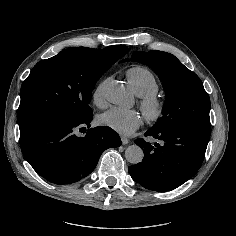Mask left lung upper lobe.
I'll list each match as a JSON object with an SVG mask.
<instances>
[{"mask_svg": "<svg viewBox=\"0 0 236 236\" xmlns=\"http://www.w3.org/2000/svg\"><path fill=\"white\" fill-rule=\"evenodd\" d=\"M131 60L150 66L159 75L166 92L163 116L150 129L184 126L211 128L210 98L194 72L174 55L162 51H138L132 54Z\"/></svg>", "mask_w": 236, "mask_h": 236, "instance_id": "left-lung-upper-lobe-1", "label": "left lung upper lobe"}]
</instances>
